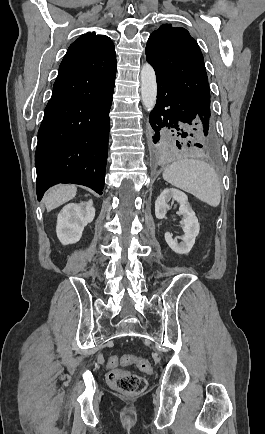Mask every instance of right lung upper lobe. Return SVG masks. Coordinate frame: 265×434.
<instances>
[{"label":"right lung upper lobe","mask_w":265,"mask_h":434,"mask_svg":"<svg viewBox=\"0 0 265 434\" xmlns=\"http://www.w3.org/2000/svg\"><path fill=\"white\" fill-rule=\"evenodd\" d=\"M71 49L87 51H115L114 44L106 35H98L95 32L81 35L69 47Z\"/></svg>","instance_id":"cb5924a9"}]
</instances>
